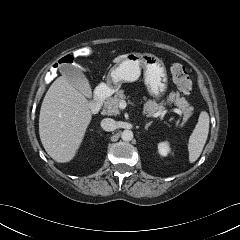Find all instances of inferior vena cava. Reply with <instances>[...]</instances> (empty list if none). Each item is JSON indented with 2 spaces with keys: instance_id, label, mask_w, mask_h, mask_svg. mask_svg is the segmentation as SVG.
<instances>
[{
  "instance_id": "602c4592",
  "label": "inferior vena cava",
  "mask_w": 240,
  "mask_h": 240,
  "mask_svg": "<svg viewBox=\"0 0 240 240\" xmlns=\"http://www.w3.org/2000/svg\"><path fill=\"white\" fill-rule=\"evenodd\" d=\"M101 127L105 131H113L117 128L116 121L111 118H105L101 121Z\"/></svg>"
}]
</instances>
